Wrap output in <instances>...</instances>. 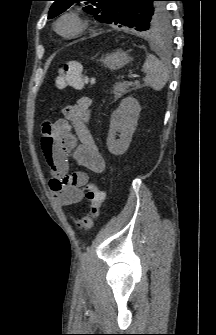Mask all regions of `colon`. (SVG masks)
<instances>
[{
	"mask_svg": "<svg viewBox=\"0 0 216 335\" xmlns=\"http://www.w3.org/2000/svg\"><path fill=\"white\" fill-rule=\"evenodd\" d=\"M90 82L80 62L70 61L58 70L56 86L60 89L67 87L81 88ZM86 198L89 201V212L77 219L80 229H89L100 216L101 206L105 200L104 192L94 183H86L84 186Z\"/></svg>",
	"mask_w": 216,
	"mask_h": 335,
	"instance_id": "obj_1",
	"label": "colon"
}]
</instances>
